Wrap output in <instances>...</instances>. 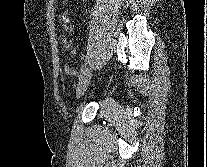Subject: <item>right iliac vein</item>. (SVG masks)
Masks as SVG:
<instances>
[{
  "label": "right iliac vein",
  "mask_w": 207,
  "mask_h": 167,
  "mask_svg": "<svg viewBox=\"0 0 207 167\" xmlns=\"http://www.w3.org/2000/svg\"><path fill=\"white\" fill-rule=\"evenodd\" d=\"M91 75H92V72L90 69H88V70H86L83 77L80 79V81L77 85V89H76V97L77 98H80L81 96H83V94L87 90L88 85L90 83Z\"/></svg>",
  "instance_id": "obj_1"
}]
</instances>
